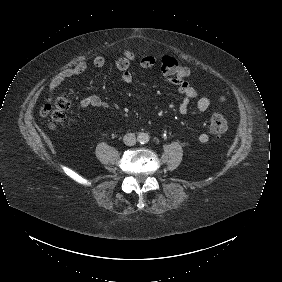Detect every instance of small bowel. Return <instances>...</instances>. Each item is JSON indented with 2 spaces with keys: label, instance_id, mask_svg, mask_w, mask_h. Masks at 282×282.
Instances as JSON below:
<instances>
[{
  "label": "small bowel",
  "instance_id": "small-bowel-1",
  "mask_svg": "<svg viewBox=\"0 0 282 282\" xmlns=\"http://www.w3.org/2000/svg\"><path fill=\"white\" fill-rule=\"evenodd\" d=\"M134 60L135 54L131 51H125L115 62L116 68L122 73L121 79L124 83L129 84L133 81V75L129 71V67ZM105 63L106 60L103 56H96L92 60V65L95 68H101ZM155 63V58L148 55L140 60L139 66L142 69H149L152 68ZM87 69L88 63L86 61H81L72 67L59 71L49 81V93L52 94L66 80L83 74ZM168 81L178 88V91L182 96L178 104V112L180 114L184 115L188 113L192 101H196L197 110L200 112H205L210 107V99L206 96H201L197 89L191 86L186 80L176 81L171 77ZM79 106L81 108H102L104 106V101L97 95H90L80 100ZM197 139L200 143L206 144L209 141V135L205 132H201L198 134Z\"/></svg>",
  "mask_w": 282,
  "mask_h": 282
}]
</instances>
